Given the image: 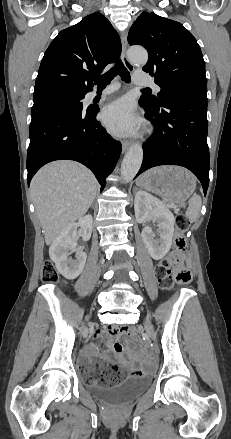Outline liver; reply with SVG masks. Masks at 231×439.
I'll use <instances>...</instances> for the list:
<instances>
[{"label":"liver","mask_w":231,"mask_h":439,"mask_svg":"<svg viewBox=\"0 0 231 439\" xmlns=\"http://www.w3.org/2000/svg\"><path fill=\"white\" fill-rule=\"evenodd\" d=\"M97 189L93 173L75 161H55L36 173L30 190L47 245L86 214Z\"/></svg>","instance_id":"liver-1"}]
</instances>
